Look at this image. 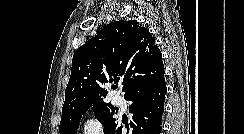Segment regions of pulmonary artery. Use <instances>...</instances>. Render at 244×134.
Here are the masks:
<instances>
[{
	"label": "pulmonary artery",
	"mask_w": 244,
	"mask_h": 134,
	"mask_svg": "<svg viewBox=\"0 0 244 134\" xmlns=\"http://www.w3.org/2000/svg\"><path fill=\"white\" fill-rule=\"evenodd\" d=\"M114 101H115V103L120 104L121 103V98L115 97Z\"/></svg>",
	"instance_id": "1"
}]
</instances>
